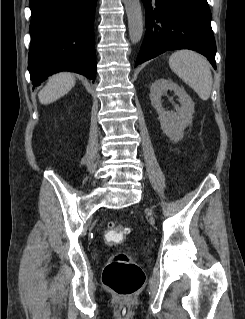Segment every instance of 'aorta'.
<instances>
[{"label":"aorta","mask_w":245,"mask_h":319,"mask_svg":"<svg viewBox=\"0 0 245 319\" xmlns=\"http://www.w3.org/2000/svg\"><path fill=\"white\" fill-rule=\"evenodd\" d=\"M127 19L129 37L133 44L138 43L143 35V17L140 0H123Z\"/></svg>","instance_id":"1"}]
</instances>
